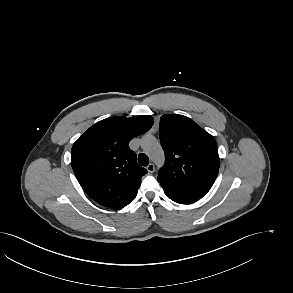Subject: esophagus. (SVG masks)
<instances>
[{"instance_id":"obj_1","label":"esophagus","mask_w":293,"mask_h":293,"mask_svg":"<svg viewBox=\"0 0 293 293\" xmlns=\"http://www.w3.org/2000/svg\"><path fill=\"white\" fill-rule=\"evenodd\" d=\"M146 168L149 173H153L155 171V166L153 163H150Z\"/></svg>"}]
</instances>
